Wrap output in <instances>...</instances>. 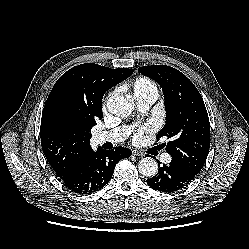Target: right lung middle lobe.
Segmentation results:
<instances>
[{"label":"right lung middle lobe","instance_id":"obj_1","mask_svg":"<svg viewBox=\"0 0 249 249\" xmlns=\"http://www.w3.org/2000/svg\"><path fill=\"white\" fill-rule=\"evenodd\" d=\"M56 114L62 118L64 128L75 132L83 141L89 142L91 129L96 125L95 110L76 104L68 95H63L57 100ZM102 119V118H100Z\"/></svg>","mask_w":249,"mask_h":249}]
</instances>
